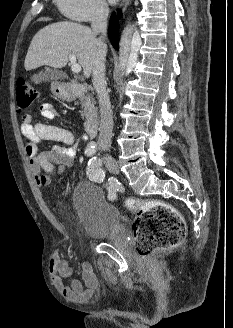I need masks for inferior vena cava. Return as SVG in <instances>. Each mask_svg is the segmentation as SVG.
<instances>
[{
  "label": "inferior vena cava",
  "instance_id": "inferior-vena-cava-1",
  "mask_svg": "<svg viewBox=\"0 0 233 328\" xmlns=\"http://www.w3.org/2000/svg\"><path fill=\"white\" fill-rule=\"evenodd\" d=\"M108 13L109 9L107 3L103 0H98L93 7L91 27L95 33L101 34L98 39L103 46H106L104 41L107 30ZM92 78L93 86L99 101L101 116L98 145L101 150L106 151L112 143L113 113L109 95L106 91L105 54H99L97 56L92 69Z\"/></svg>",
  "mask_w": 233,
  "mask_h": 328
}]
</instances>
